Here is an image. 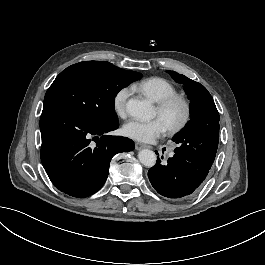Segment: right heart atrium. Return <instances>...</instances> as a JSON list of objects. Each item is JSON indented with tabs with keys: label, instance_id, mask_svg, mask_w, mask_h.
Returning a JSON list of instances; mask_svg holds the SVG:
<instances>
[{
	"label": "right heart atrium",
	"instance_id": "d8ad5b80",
	"mask_svg": "<svg viewBox=\"0 0 265 265\" xmlns=\"http://www.w3.org/2000/svg\"><path fill=\"white\" fill-rule=\"evenodd\" d=\"M129 96V91L127 89H122L119 93V97L116 102V113L119 118H125L127 116V110L129 109V104L126 102Z\"/></svg>",
	"mask_w": 265,
	"mask_h": 265
}]
</instances>
